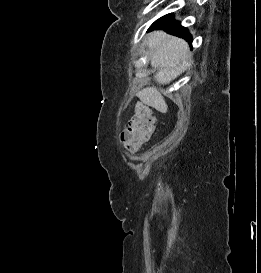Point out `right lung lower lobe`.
I'll return each mask as SVG.
<instances>
[{
	"label": "right lung lower lobe",
	"instance_id": "98d812e1",
	"mask_svg": "<svg viewBox=\"0 0 261 273\" xmlns=\"http://www.w3.org/2000/svg\"><path fill=\"white\" fill-rule=\"evenodd\" d=\"M150 29H165L168 33L184 38L192 42V37L186 28L182 27L179 22L173 20V15L168 14L155 21Z\"/></svg>",
	"mask_w": 261,
	"mask_h": 273
}]
</instances>
